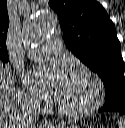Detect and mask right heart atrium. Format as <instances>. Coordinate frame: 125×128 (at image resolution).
Masks as SVG:
<instances>
[{
    "label": "right heart atrium",
    "instance_id": "obj_1",
    "mask_svg": "<svg viewBox=\"0 0 125 128\" xmlns=\"http://www.w3.org/2000/svg\"><path fill=\"white\" fill-rule=\"evenodd\" d=\"M17 96H18V101L22 107L32 110L38 107V101L29 94H27L26 92L18 91Z\"/></svg>",
    "mask_w": 125,
    "mask_h": 128
}]
</instances>
